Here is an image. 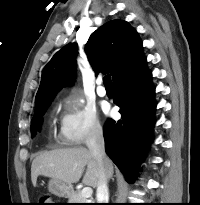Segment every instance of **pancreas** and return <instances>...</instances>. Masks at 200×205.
Returning <instances> with one entry per match:
<instances>
[{
  "mask_svg": "<svg viewBox=\"0 0 200 205\" xmlns=\"http://www.w3.org/2000/svg\"><path fill=\"white\" fill-rule=\"evenodd\" d=\"M68 203H90L86 198L82 197L81 192H72L69 196Z\"/></svg>",
  "mask_w": 200,
  "mask_h": 205,
  "instance_id": "obj_1",
  "label": "pancreas"
}]
</instances>
